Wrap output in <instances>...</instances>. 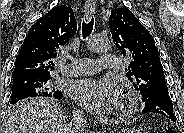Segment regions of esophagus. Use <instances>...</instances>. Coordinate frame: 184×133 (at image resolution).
<instances>
[{
	"label": "esophagus",
	"mask_w": 184,
	"mask_h": 133,
	"mask_svg": "<svg viewBox=\"0 0 184 133\" xmlns=\"http://www.w3.org/2000/svg\"><path fill=\"white\" fill-rule=\"evenodd\" d=\"M95 12V3L92 0H88L84 6V13L86 18H90L91 15Z\"/></svg>",
	"instance_id": "1"
}]
</instances>
